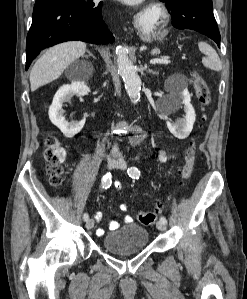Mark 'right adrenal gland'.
Here are the masks:
<instances>
[{"mask_svg":"<svg viewBox=\"0 0 247 299\" xmlns=\"http://www.w3.org/2000/svg\"><path fill=\"white\" fill-rule=\"evenodd\" d=\"M88 56H91V57H93L94 59H96V57L90 52V51H88V55H87V57Z\"/></svg>","mask_w":247,"mask_h":299,"instance_id":"obj_1","label":"right adrenal gland"}]
</instances>
